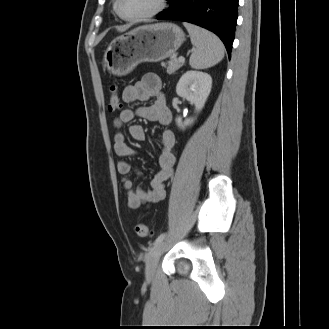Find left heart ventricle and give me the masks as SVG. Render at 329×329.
<instances>
[{
  "mask_svg": "<svg viewBox=\"0 0 329 329\" xmlns=\"http://www.w3.org/2000/svg\"><path fill=\"white\" fill-rule=\"evenodd\" d=\"M158 0H120L119 11L125 17H135L152 11Z\"/></svg>",
  "mask_w": 329,
  "mask_h": 329,
  "instance_id": "obj_1",
  "label": "left heart ventricle"
}]
</instances>
